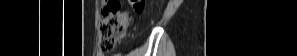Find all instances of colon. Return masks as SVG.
Returning a JSON list of instances; mask_svg holds the SVG:
<instances>
[{"label": "colon", "mask_w": 297, "mask_h": 56, "mask_svg": "<svg viewBox=\"0 0 297 56\" xmlns=\"http://www.w3.org/2000/svg\"><path fill=\"white\" fill-rule=\"evenodd\" d=\"M132 4L138 12L144 8L143 0H132ZM129 23V12L123 10L118 1H105L101 7L99 19V52L102 54L111 52L116 42L125 33Z\"/></svg>", "instance_id": "obj_1"}]
</instances>
